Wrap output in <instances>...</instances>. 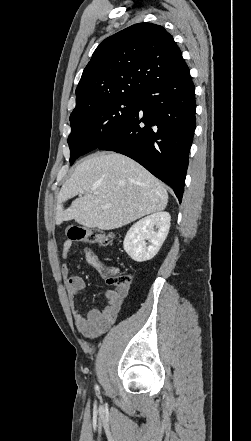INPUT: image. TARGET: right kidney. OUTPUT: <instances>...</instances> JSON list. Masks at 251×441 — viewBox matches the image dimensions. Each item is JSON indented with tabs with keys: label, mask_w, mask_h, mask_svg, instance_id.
I'll list each match as a JSON object with an SVG mask.
<instances>
[{
	"label": "right kidney",
	"mask_w": 251,
	"mask_h": 441,
	"mask_svg": "<svg viewBox=\"0 0 251 441\" xmlns=\"http://www.w3.org/2000/svg\"><path fill=\"white\" fill-rule=\"evenodd\" d=\"M170 220L169 213L157 212L133 224L124 238L125 252L136 262L151 260L168 235Z\"/></svg>",
	"instance_id": "1"
}]
</instances>
